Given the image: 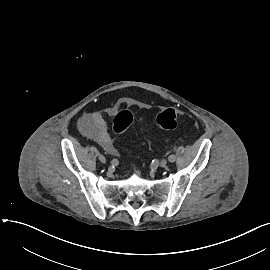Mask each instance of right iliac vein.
Instances as JSON below:
<instances>
[{
    "instance_id": "63e3f726",
    "label": "right iliac vein",
    "mask_w": 270,
    "mask_h": 270,
    "mask_svg": "<svg viewBox=\"0 0 270 270\" xmlns=\"http://www.w3.org/2000/svg\"><path fill=\"white\" fill-rule=\"evenodd\" d=\"M98 158H99L100 162L106 163V159L102 154H99Z\"/></svg>"
}]
</instances>
